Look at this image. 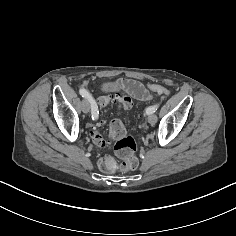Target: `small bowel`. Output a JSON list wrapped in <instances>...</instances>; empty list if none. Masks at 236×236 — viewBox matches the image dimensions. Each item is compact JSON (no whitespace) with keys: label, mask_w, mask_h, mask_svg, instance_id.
Wrapping results in <instances>:
<instances>
[{"label":"small bowel","mask_w":236,"mask_h":236,"mask_svg":"<svg viewBox=\"0 0 236 236\" xmlns=\"http://www.w3.org/2000/svg\"><path fill=\"white\" fill-rule=\"evenodd\" d=\"M118 82L125 91H127L128 93H130L132 96H134L137 99L149 100L151 97L150 94L144 88H142V86L136 81L128 80V79H120ZM133 84H136L138 86L137 90H133L131 88Z\"/></svg>","instance_id":"small-bowel-1"}]
</instances>
